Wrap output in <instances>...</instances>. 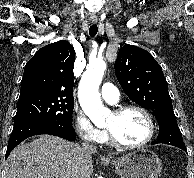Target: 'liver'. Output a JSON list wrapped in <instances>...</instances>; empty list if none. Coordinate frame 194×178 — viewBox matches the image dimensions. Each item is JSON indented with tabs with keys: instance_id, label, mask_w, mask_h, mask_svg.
I'll return each mask as SVG.
<instances>
[{
	"instance_id": "6515ba94",
	"label": "liver",
	"mask_w": 194,
	"mask_h": 178,
	"mask_svg": "<svg viewBox=\"0 0 194 178\" xmlns=\"http://www.w3.org/2000/svg\"><path fill=\"white\" fill-rule=\"evenodd\" d=\"M5 178H90L92 157L62 138L41 135L8 157Z\"/></svg>"
}]
</instances>
